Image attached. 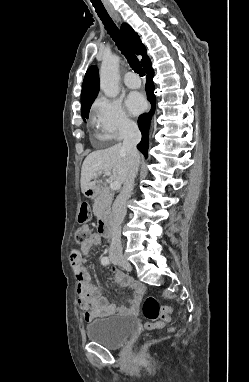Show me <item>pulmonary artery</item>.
<instances>
[{"instance_id": "obj_1", "label": "pulmonary artery", "mask_w": 249, "mask_h": 382, "mask_svg": "<svg viewBox=\"0 0 249 382\" xmlns=\"http://www.w3.org/2000/svg\"><path fill=\"white\" fill-rule=\"evenodd\" d=\"M124 83L128 88L136 89L140 87L141 80L133 72H128L124 77Z\"/></svg>"}]
</instances>
